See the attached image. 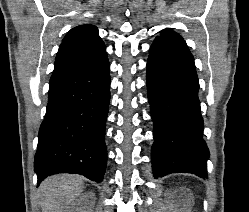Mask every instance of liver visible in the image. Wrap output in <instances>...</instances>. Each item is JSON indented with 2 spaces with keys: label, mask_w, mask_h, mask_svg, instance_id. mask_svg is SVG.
Here are the masks:
<instances>
[{
  "label": "liver",
  "mask_w": 249,
  "mask_h": 212,
  "mask_svg": "<svg viewBox=\"0 0 249 212\" xmlns=\"http://www.w3.org/2000/svg\"><path fill=\"white\" fill-rule=\"evenodd\" d=\"M84 190L82 176L57 174L49 176L40 184V206L42 212H63L65 208L76 210V200Z\"/></svg>",
  "instance_id": "6515ba94"
}]
</instances>
